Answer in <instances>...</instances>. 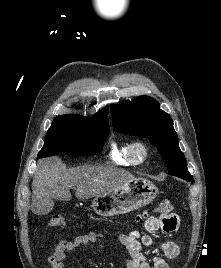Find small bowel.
<instances>
[{
  "mask_svg": "<svg viewBox=\"0 0 221 268\" xmlns=\"http://www.w3.org/2000/svg\"><path fill=\"white\" fill-rule=\"evenodd\" d=\"M180 226L176 214L168 216H151L144 222V232L133 230L120 233L118 241L127 249L130 258L125 261L126 268H169L166 259L176 258L180 254V246L173 241H156L152 234L158 231L172 233ZM104 236L98 232L79 235L73 240H63L48 257L51 268H68L66 260L76 249L94 243ZM146 248H156L158 253L146 251Z\"/></svg>",
  "mask_w": 221,
  "mask_h": 268,
  "instance_id": "1",
  "label": "small bowel"
}]
</instances>
